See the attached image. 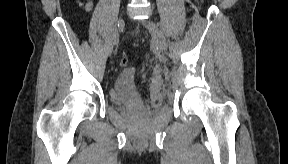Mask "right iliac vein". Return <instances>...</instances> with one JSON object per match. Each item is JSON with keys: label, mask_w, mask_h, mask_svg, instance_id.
I'll return each mask as SVG.
<instances>
[{"label": "right iliac vein", "mask_w": 288, "mask_h": 164, "mask_svg": "<svg viewBox=\"0 0 288 164\" xmlns=\"http://www.w3.org/2000/svg\"><path fill=\"white\" fill-rule=\"evenodd\" d=\"M123 26H124L123 19L119 18L117 20L114 28H113L112 39H111V44H110V48H109V53H112L113 47L116 44V42L118 41L119 34H120Z\"/></svg>", "instance_id": "right-iliac-vein-1"}]
</instances>
